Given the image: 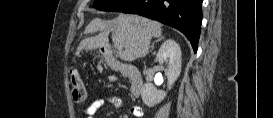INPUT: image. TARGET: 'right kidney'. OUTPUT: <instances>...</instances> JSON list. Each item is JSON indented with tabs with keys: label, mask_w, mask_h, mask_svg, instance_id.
I'll return each mask as SVG.
<instances>
[{
	"label": "right kidney",
	"mask_w": 273,
	"mask_h": 118,
	"mask_svg": "<svg viewBox=\"0 0 273 118\" xmlns=\"http://www.w3.org/2000/svg\"><path fill=\"white\" fill-rule=\"evenodd\" d=\"M156 60L159 63L168 61L167 69V87L172 88L175 81L178 79L181 72V49L174 40H166L160 47ZM167 92L157 90L153 84L146 83L141 89V97L145 105L153 107L160 103L166 97Z\"/></svg>",
	"instance_id": "right-kidney-1"
}]
</instances>
